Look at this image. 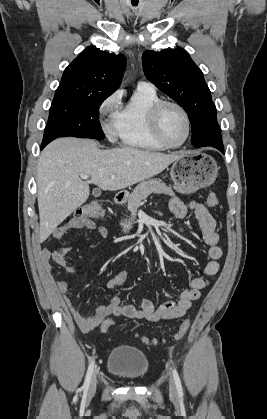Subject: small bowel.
<instances>
[{"mask_svg":"<svg viewBox=\"0 0 267 419\" xmlns=\"http://www.w3.org/2000/svg\"><path fill=\"white\" fill-rule=\"evenodd\" d=\"M169 209L172 215L178 219L186 217L189 210H192L195 218L199 222L202 231L204 243L208 246L209 261L202 267V274L204 276H214L220 269L219 259L222 256V249L218 246L219 237L216 233V222L213 216L208 211L207 207L199 202L190 201L183 202L178 198H172L169 202ZM75 229H87L96 232L100 237L107 238L108 230L104 226L98 225L95 221L90 219H75L71 218L52 233L54 239H61L68 232ZM70 246H64L56 250L44 249L41 253L42 263L51 273L50 261H53L58 266L64 268L67 273L83 272V268L71 267L66 260V253L70 251ZM128 277L127 270L119 271L115 276L109 279L106 283V288L109 291L122 286ZM210 281L203 277L193 278L189 286L180 292V297L177 302L167 301L155 307L150 300H142L138 307L133 305L121 304L120 295L113 296L110 301L98 307L94 313L85 317L75 307L72 300L67 295V283L64 280L56 281V288L61 293L63 300L72 314L77 325L83 332H89L95 329L106 317L110 315L125 316L131 319H146L152 323H161L174 320L184 316L192 305L201 296V291L209 286Z\"/></svg>","mask_w":267,"mask_h":419,"instance_id":"small-bowel-1","label":"small bowel"}]
</instances>
